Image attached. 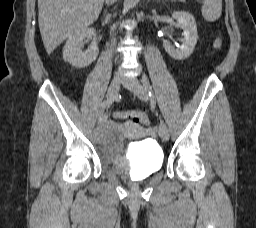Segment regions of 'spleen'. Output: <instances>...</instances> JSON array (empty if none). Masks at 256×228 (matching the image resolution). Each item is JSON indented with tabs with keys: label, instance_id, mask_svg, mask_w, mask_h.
I'll return each mask as SVG.
<instances>
[{
	"label": "spleen",
	"instance_id": "1",
	"mask_svg": "<svg viewBox=\"0 0 256 228\" xmlns=\"http://www.w3.org/2000/svg\"><path fill=\"white\" fill-rule=\"evenodd\" d=\"M202 16L207 22H214L222 12V0H203Z\"/></svg>",
	"mask_w": 256,
	"mask_h": 228
}]
</instances>
